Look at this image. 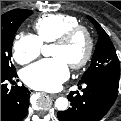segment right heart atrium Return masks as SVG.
<instances>
[{
  "label": "right heart atrium",
  "mask_w": 121,
  "mask_h": 121,
  "mask_svg": "<svg viewBox=\"0 0 121 121\" xmlns=\"http://www.w3.org/2000/svg\"><path fill=\"white\" fill-rule=\"evenodd\" d=\"M42 45L33 34L19 35L13 43V58L19 64H27L40 56Z\"/></svg>",
  "instance_id": "right-heart-atrium-1"
}]
</instances>
